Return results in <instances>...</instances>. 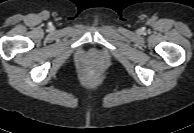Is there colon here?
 Wrapping results in <instances>:
<instances>
[{"instance_id": "1", "label": "colon", "mask_w": 194, "mask_h": 133, "mask_svg": "<svg viewBox=\"0 0 194 133\" xmlns=\"http://www.w3.org/2000/svg\"><path fill=\"white\" fill-rule=\"evenodd\" d=\"M90 73L94 76H96L98 74V71L97 70H91Z\"/></svg>"}]
</instances>
